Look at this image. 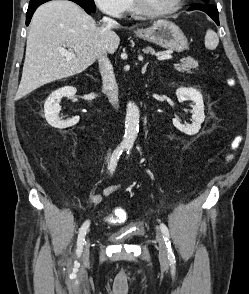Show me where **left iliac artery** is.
<instances>
[{"label": "left iliac artery", "instance_id": "44dca946", "mask_svg": "<svg viewBox=\"0 0 249 294\" xmlns=\"http://www.w3.org/2000/svg\"><path fill=\"white\" fill-rule=\"evenodd\" d=\"M127 149H128L127 154H129L131 146H129ZM160 230L163 233L165 244H166L167 249H168V259H169L171 264H174L175 263V256H174L173 249H172V246H171L169 230L166 227V225L163 224V223L160 224Z\"/></svg>", "mask_w": 249, "mask_h": 294}]
</instances>
